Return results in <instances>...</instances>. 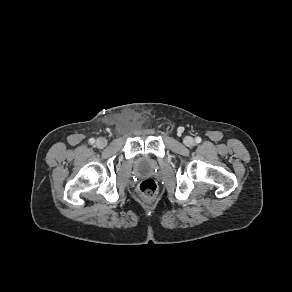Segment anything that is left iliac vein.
I'll use <instances>...</instances> for the list:
<instances>
[{
	"label": "left iliac vein",
	"instance_id": "left-iliac-vein-1",
	"mask_svg": "<svg viewBox=\"0 0 292 292\" xmlns=\"http://www.w3.org/2000/svg\"><path fill=\"white\" fill-rule=\"evenodd\" d=\"M183 143L188 146V147H191L194 145V139L190 136H186L184 139H183Z\"/></svg>",
	"mask_w": 292,
	"mask_h": 292
}]
</instances>
